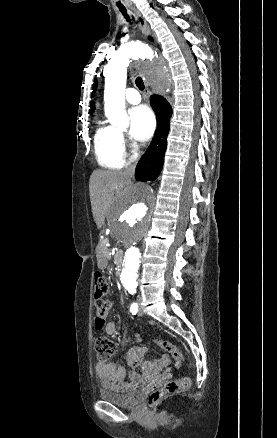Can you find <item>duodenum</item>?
Segmentation results:
<instances>
[{
	"mask_svg": "<svg viewBox=\"0 0 277 438\" xmlns=\"http://www.w3.org/2000/svg\"><path fill=\"white\" fill-rule=\"evenodd\" d=\"M124 260V255L122 251H117L114 255V261L117 266H122Z\"/></svg>",
	"mask_w": 277,
	"mask_h": 438,
	"instance_id": "obj_1",
	"label": "duodenum"
}]
</instances>
